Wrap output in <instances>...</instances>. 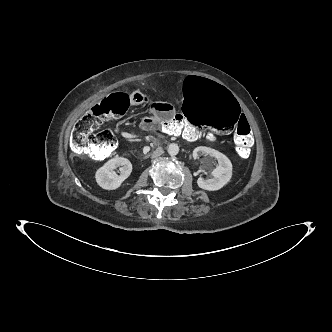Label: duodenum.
Returning <instances> with one entry per match:
<instances>
[{
  "label": "duodenum",
  "instance_id": "1",
  "mask_svg": "<svg viewBox=\"0 0 332 332\" xmlns=\"http://www.w3.org/2000/svg\"><path fill=\"white\" fill-rule=\"evenodd\" d=\"M151 123L154 127H157L160 123V120L156 117V118H153L151 120ZM175 134L182 137L183 139H185L187 141H193L194 140L193 135L189 130L180 131V132L175 133Z\"/></svg>",
  "mask_w": 332,
  "mask_h": 332
}]
</instances>
